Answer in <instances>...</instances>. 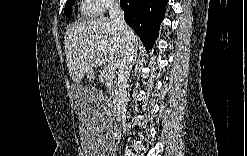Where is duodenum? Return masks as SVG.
I'll return each instance as SVG.
<instances>
[{"mask_svg":"<svg viewBox=\"0 0 247 156\" xmlns=\"http://www.w3.org/2000/svg\"><path fill=\"white\" fill-rule=\"evenodd\" d=\"M110 78L111 81H115V78L112 77V76H108ZM120 103H121V98H120V92L119 90L117 89V100L115 102V111L118 113V110H119V106H120Z\"/></svg>","mask_w":247,"mask_h":156,"instance_id":"duodenum-1","label":"duodenum"}]
</instances>
